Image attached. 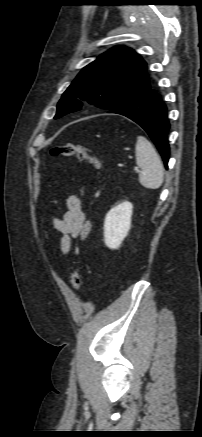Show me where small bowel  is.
<instances>
[{
  "label": "small bowel",
  "instance_id": "obj_1",
  "mask_svg": "<svg viewBox=\"0 0 202 437\" xmlns=\"http://www.w3.org/2000/svg\"><path fill=\"white\" fill-rule=\"evenodd\" d=\"M66 207V212L62 217H54L52 220L55 230L60 235L62 254L69 253L74 239H85L91 230V224L83 210L80 195L68 196Z\"/></svg>",
  "mask_w": 202,
  "mask_h": 437
}]
</instances>
